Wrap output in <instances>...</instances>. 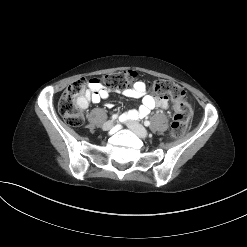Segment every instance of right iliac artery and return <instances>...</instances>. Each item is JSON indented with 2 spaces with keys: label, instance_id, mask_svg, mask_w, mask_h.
Masks as SVG:
<instances>
[{
  "label": "right iliac artery",
  "instance_id": "1",
  "mask_svg": "<svg viewBox=\"0 0 247 247\" xmlns=\"http://www.w3.org/2000/svg\"><path fill=\"white\" fill-rule=\"evenodd\" d=\"M117 117H118V114L112 115V119H113V120L116 119Z\"/></svg>",
  "mask_w": 247,
  "mask_h": 247
}]
</instances>
